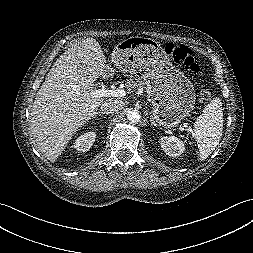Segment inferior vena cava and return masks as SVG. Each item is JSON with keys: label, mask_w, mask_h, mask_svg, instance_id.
Returning a JSON list of instances; mask_svg holds the SVG:
<instances>
[{"label": "inferior vena cava", "mask_w": 253, "mask_h": 253, "mask_svg": "<svg viewBox=\"0 0 253 253\" xmlns=\"http://www.w3.org/2000/svg\"><path fill=\"white\" fill-rule=\"evenodd\" d=\"M122 107V101L117 99H107L101 105V110L105 114H114L118 112Z\"/></svg>", "instance_id": "obj_1"}]
</instances>
